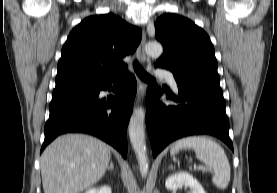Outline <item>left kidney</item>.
<instances>
[{"mask_svg": "<svg viewBox=\"0 0 277 193\" xmlns=\"http://www.w3.org/2000/svg\"><path fill=\"white\" fill-rule=\"evenodd\" d=\"M182 186L189 187L192 193H206L201 184L187 172H178L166 179L165 187L168 190H176Z\"/></svg>", "mask_w": 277, "mask_h": 193, "instance_id": "obj_1", "label": "left kidney"}]
</instances>
